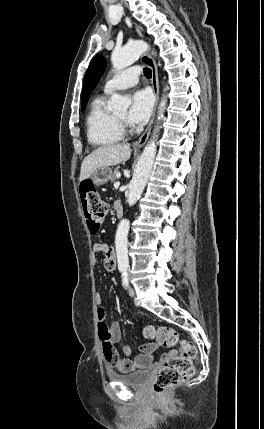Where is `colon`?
Returning a JSON list of instances; mask_svg holds the SVG:
<instances>
[{
  "instance_id": "1",
  "label": "colon",
  "mask_w": 264,
  "mask_h": 429,
  "mask_svg": "<svg viewBox=\"0 0 264 429\" xmlns=\"http://www.w3.org/2000/svg\"><path fill=\"white\" fill-rule=\"evenodd\" d=\"M79 192L88 227L92 233H96L106 217L108 205L91 182H82ZM143 333L146 338L153 340L159 346L179 347V354L168 355L154 379V392L157 395H163L192 375V359L196 356V348L191 342L181 339L177 331L170 327L147 326ZM104 353L108 362L114 361L117 357L110 341L105 343Z\"/></svg>"
}]
</instances>
